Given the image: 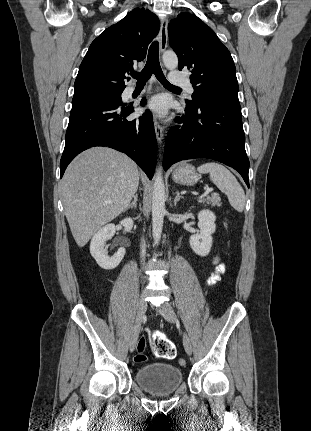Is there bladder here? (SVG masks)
Returning <instances> with one entry per match:
<instances>
[{
	"mask_svg": "<svg viewBox=\"0 0 311 431\" xmlns=\"http://www.w3.org/2000/svg\"><path fill=\"white\" fill-rule=\"evenodd\" d=\"M138 385L154 395L176 391L183 382V372L169 363H151L139 367L135 373Z\"/></svg>",
	"mask_w": 311,
	"mask_h": 431,
	"instance_id": "obj_1",
	"label": "bladder"
}]
</instances>
